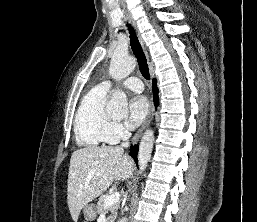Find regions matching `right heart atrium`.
Listing matches in <instances>:
<instances>
[{"mask_svg": "<svg viewBox=\"0 0 257 222\" xmlns=\"http://www.w3.org/2000/svg\"><path fill=\"white\" fill-rule=\"evenodd\" d=\"M128 136V132L121 123L112 122L108 128L107 139L109 143H116Z\"/></svg>", "mask_w": 257, "mask_h": 222, "instance_id": "right-heart-atrium-1", "label": "right heart atrium"}]
</instances>
